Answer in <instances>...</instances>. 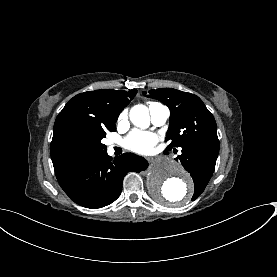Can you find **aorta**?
<instances>
[{"label":"aorta","mask_w":277,"mask_h":277,"mask_svg":"<svg viewBox=\"0 0 277 277\" xmlns=\"http://www.w3.org/2000/svg\"><path fill=\"white\" fill-rule=\"evenodd\" d=\"M130 120L137 127H149L147 107L135 105L130 110ZM147 179L151 195L161 204L184 205L193 194V184L188 173L179 162L168 157L156 158L151 162Z\"/></svg>","instance_id":"aorta-1"}]
</instances>
